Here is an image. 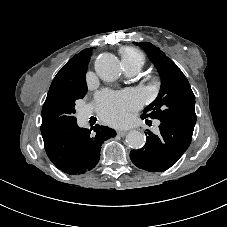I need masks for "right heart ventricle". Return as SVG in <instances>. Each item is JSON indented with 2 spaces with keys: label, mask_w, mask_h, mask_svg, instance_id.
I'll return each instance as SVG.
<instances>
[{
  "label": "right heart ventricle",
  "mask_w": 227,
  "mask_h": 227,
  "mask_svg": "<svg viewBox=\"0 0 227 227\" xmlns=\"http://www.w3.org/2000/svg\"><path fill=\"white\" fill-rule=\"evenodd\" d=\"M123 63L141 68L145 63V55L136 48L126 47L121 50Z\"/></svg>",
  "instance_id": "1"
}]
</instances>
